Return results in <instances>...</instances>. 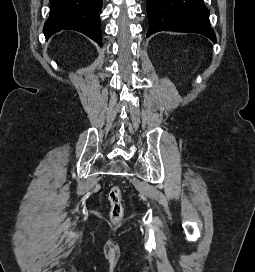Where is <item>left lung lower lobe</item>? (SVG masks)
<instances>
[{
  "label": "left lung lower lobe",
  "mask_w": 255,
  "mask_h": 272,
  "mask_svg": "<svg viewBox=\"0 0 255 272\" xmlns=\"http://www.w3.org/2000/svg\"><path fill=\"white\" fill-rule=\"evenodd\" d=\"M147 15L150 24L147 37L170 30L202 34L216 43L203 0H147Z\"/></svg>",
  "instance_id": "0a47b994"
}]
</instances>
